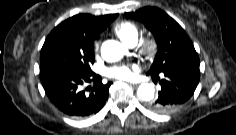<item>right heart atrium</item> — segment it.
<instances>
[{
	"label": "right heart atrium",
	"instance_id": "1",
	"mask_svg": "<svg viewBox=\"0 0 236 135\" xmlns=\"http://www.w3.org/2000/svg\"><path fill=\"white\" fill-rule=\"evenodd\" d=\"M99 47H100V41L97 40V41H95V43H94V50H95V51H98V50H99Z\"/></svg>",
	"mask_w": 236,
	"mask_h": 135
}]
</instances>
